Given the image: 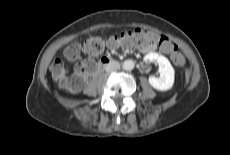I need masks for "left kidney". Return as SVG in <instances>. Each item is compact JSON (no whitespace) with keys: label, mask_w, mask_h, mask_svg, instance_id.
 Segmentation results:
<instances>
[{"label":"left kidney","mask_w":230,"mask_h":155,"mask_svg":"<svg viewBox=\"0 0 230 155\" xmlns=\"http://www.w3.org/2000/svg\"><path fill=\"white\" fill-rule=\"evenodd\" d=\"M145 62H156L159 66L160 77H149L150 85L158 91H167L174 85L175 71L169 60L161 54L150 52L144 57Z\"/></svg>","instance_id":"1"}]
</instances>
